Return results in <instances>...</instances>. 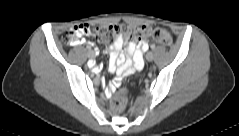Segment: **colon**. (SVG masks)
I'll return each mask as SVG.
<instances>
[{"instance_id": "5ec220e1", "label": "colon", "mask_w": 239, "mask_h": 136, "mask_svg": "<svg viewBox=\"0 0 239 136\" xmlns=\"http://www.w3.org/2000/svg\"><path fill=\"white\" fill-rule=\"evenodd\" d=\"M127 34L133 41H141L145 39L154 40L162 45H170L172 37L170 33L164 29L147 26H89L87 24H79L68 29L63 35V41L68 45L76 43L77 39L82 35L94 34L105 42L115 41L121 34ZM137 73V69L130 72L127 77H133ZM127 104V95L124 88H119L110 101L111 110L119 113L124 110Z\"/></svg>"}]
</instances>
